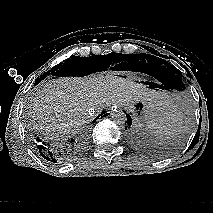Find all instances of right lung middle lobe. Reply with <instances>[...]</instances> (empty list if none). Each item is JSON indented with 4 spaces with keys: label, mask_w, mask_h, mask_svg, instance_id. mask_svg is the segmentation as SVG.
Wrapping results in <instances>:
<instances>
[{
    "label": "right lung middle lobe",
    "mask_w": 213,
    "mask_h": 213,
    "mask_svg": "<svg viewBox=\"0 0 213 213\" xmlns=\"http://www.w3.org/2000/svg\"><path fill=\"white\" fill-rule=\"evenodd\" d=\"M123 54L121 53H109L108 55H95L90 57L71 56V58L65 60L64 63H60L44 73L42 78L48 75L53 76H85L94 72L106 71L107 68L115 70L119 65L114 66L115 63L123 61ZM114 66V67H113Z\"/></svg>",
    "instance_id": "dd1d6c3e"
}]
</instances>
